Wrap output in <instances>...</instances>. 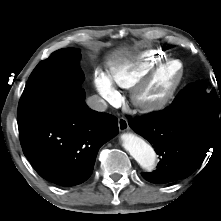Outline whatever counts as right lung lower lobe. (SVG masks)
Returning a JSON list of instances; mask_svg holds the SVG:
<instances>
[{
    "label": "right lung lower lobe",
    "instance_id": "1",
    "mask_svg": "<svg viewBox=\"0 0 221 221\" xmlns=\"http://www.w3.org/2000/svg\"><path fill=\"white\" fill-rule=\"evenodd\" d=\"M118 130L117 118L87 107L81 89L50 116L19 132L24 155L42 178L74 186L91 176L99 148Z\"/></svg>",
    "mask_w": 221,
    "mask_h": 221
}]
</instances>
